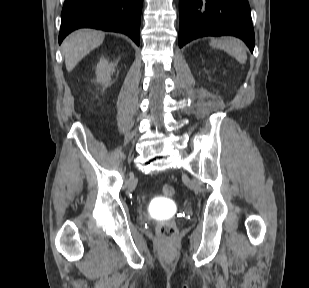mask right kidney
Returning <instances> with one entry per match:
<instances>
[{"instance_id":"right-kidney-1","label":"right kidney","mask_w":309,"mask_h":288,"mask_svg":"<svg viewBox=\"0 0 309 288\" xmlns=\"http://www.w3.org/2000/svg\"><path fill=\"white\" fill-rule=\"evenodd\" d=\"M116 64L109 63L106 59H101L96 67V81L102 85H108L111 80V74L115 71Z\"/></svg>"}]
</instances>
